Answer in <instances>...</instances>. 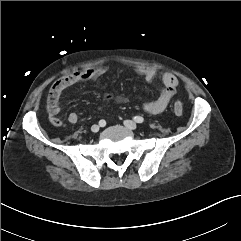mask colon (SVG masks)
<instances>
[{"instance_id":"1","label":"colon","mask_w":241,"mask_h":241,"mask_svg":"<svg viewBox=\"0 0 241 241\" xmlns=\"http://www.w3.org/2000/svg\"><path fill=\"white\" fill-rule=\"evenodd\" d=\"M102 98H103V100H108V98H109V96H108V94H103V96H102ZM113 100H118V95H113ZM173 111H174V113L176 114V115H181L182 113H183V104L181 103V102H179V101H177V102H175L174 103V105H173Z\"/></svg>"}]
</instances>
